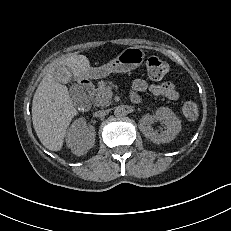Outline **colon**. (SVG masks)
<instances>
[{"instance_id": "5ec220e1", "label": "colon", "mask_w": 231, "mask_h": 231, "mask_svg": "<svg viewBox=\"0 0 231 231\" xmlns=\"http://www.w3.org/2000/svg\"><path fill=\"white\" fill-rule=\"evenodd\" d=\"M146 69L152 80H160L170 72L169 64L158 57H150L146 62ZM182 112L188 119H195L198 115V105L192 100H186L182 104Z\"/></svg>"}]
</instances>
